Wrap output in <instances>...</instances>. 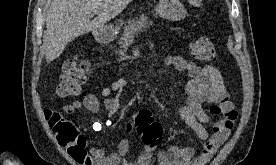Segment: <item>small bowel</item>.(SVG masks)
I'll return each instance as SVG.
<instances>
[{
  "mask_svg": "<svg viewBox=\"0 0 276 165\" xmlns=\"http://www.w3.org/2000/svg\"><path fill=\"white\" fill-rule=\"evenodd\" d=\"M165 66L173 67L177 71L185 72L189 77L184 88L185 102L180 108V117L203 141L204 145L198 155H194L191 148L171 147L161 150L157 156L158 165H207L216 151L229 137L233 125L238 117L224 85L220 71L212 65L200 66L181 56H169ZM126 88V81L118 79L102 88L100 94L104 98L103 105L109 118L104 122H94L91 128L100 131L112 124L111 117L120 108V100ZM85 108L88 112L96 114L100 109L98 97L88 93L82 100H75L65 105L64 114L71 115L75 111ZM53 112L45 111V116ZM209 115L219 116L220 119L213 123V133L208 135L204 123L210 121ZM76 121V120H75ZM77 122V121H76ZM82 145L66 146L69 154L78 165H152L153 149L145 146L137 160L126 158L130 144L127 139L119 141L114 152H107L103 148L87 149V142L82 136Z\"/></svg>",
  "mask_w": 276,
  "mask_h": 165,
  "instance_id": "1",
  "label": "small bowel"
}]
</instances>
